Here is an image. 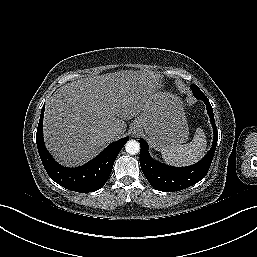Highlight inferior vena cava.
<instances>
[{"mask_svg":"<svg viewBox=\"0 0 257 257\" xmlns=\"http://www.w3.org/2000/svg\"><path fill=\"white\" fill-rule=\"evenodd\" d=\"M106 136L109 137L110 139H114L117 136V133L115 130H108L106 132Z\"/></svg>","mask_w":257,"mask_h":257,"instance_id":"inferior-vena-cava-1","label":"inferior vena cava"}]
</instances>
